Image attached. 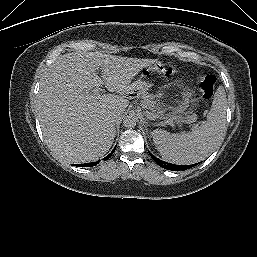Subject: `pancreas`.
I'll return each mask as SVG.
<instances>
[{"label": "pancreas", "instance_id": "cf45deb5", "mask_svg": "<svg viewBox=\"0 0 257 257\" xmlns=\"http://www.w3.org/2000/svg\"><path fill=\"white\" fill-rule=\"evenodd\" d=\"M141 106L144 109H149L151 113L157 117L163 116L166 110L165 108H161L160 103L157 100H155V96L153 94L148 93H144L142 95ZM166 116L167 118H169L170 121L180 120L185 123H192L197 119V115L192 111L181 112L179 114L178 110H173L172 112L166 114Z\"/></svg>", "mask_w": 257, "mask_h": 257}]
</instances>
